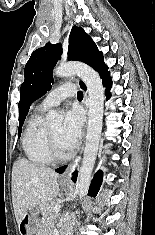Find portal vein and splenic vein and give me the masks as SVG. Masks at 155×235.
<instances>
[{"mask_svg":"<svg viewBox=\"0 0 155 235\" xmlns=\"http://www.w3.org/2000/svg\"><path fill=\"white\" fill-rule=\"evenodd\" d=\"M60 209H61V205H56V206L54 207V210H55L56 213L59 212Z\"/></svg>","mask_w":155,"mask_h":235,"instance_id":"portal-vein-and-splenic-vein-1","label":"portal vein and splenic vein"}]
</instances>
